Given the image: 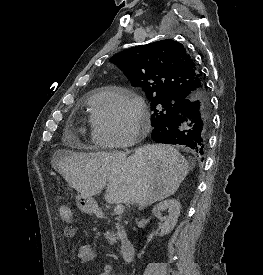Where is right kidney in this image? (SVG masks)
<instances>
[{
  "label": "right kidney",
  "instance_id": "right-kidney-1",
  "mask_svg": "<svg viewBox=\"0 0 263 275\" xmlns=\"http://www.w3.org/2000/svg\"><path fill=\"white\" fill-rule=\"evenodd\" d=\"M181 205L178 200L168 199L158 203L152 210V213L161 222L160 231L163 235L169 234L176 226L180 215ZM168 210L169 215L162 216V211Z\"/></svg>",
  "mask_w": 263,
  "mask_h": 275
}]
</instances>
